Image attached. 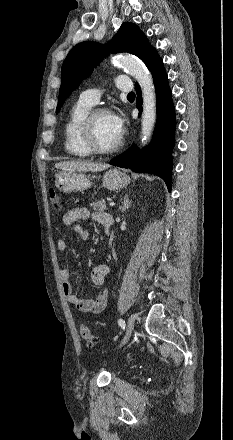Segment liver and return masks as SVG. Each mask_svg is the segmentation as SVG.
Instances as JSON below:
<instances>
[{"label":"liver","instance_id":"1","mask_svg":"<svg viewBox=\"0 0 233 440\" xmlns=\"http://www.w3.org/2000/svg\"><path fill=\"white\" fill-rule=\"evenodd\" d=\"M57 169H61L64 172H80V171H103L109 167L107 164L94 163L90 161L76 160V161H63L55 164Z\"/></svg>","mask_w":233,"mask_h":440}]
</instances>
